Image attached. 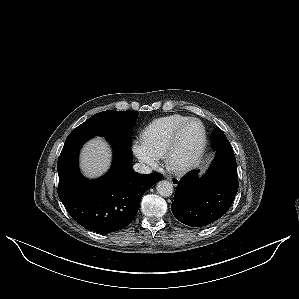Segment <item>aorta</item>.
Listing matches in <instances>:
<instances>
[{
  "label": "aorta",
  "mask_w": 299,
  "mask_h": 299,
  "mask_svg": "<svg viewBox=\"0 0 299 299\" xmlns=\"http://www.w3.org/2000/svg\"><path fill=\"white\" fill-rule=\"evenodd\" d=\"M157 193L163 197H169L173 193V184L167 180H161L156 186Z\"/></svg>",
  "instance_id": "obj_1"
}]
</instances>
